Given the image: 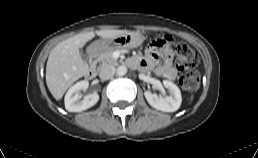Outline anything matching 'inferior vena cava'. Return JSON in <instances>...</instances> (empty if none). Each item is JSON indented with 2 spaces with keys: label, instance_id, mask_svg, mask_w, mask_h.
Returning <instances> with one entry per match:
<instances>
[{
  "label": "inferior vena cava",
  "instance_id": "inferior-vena-cava-1",
  "mask_svg": "<svg viewBox=\"0 0 258 158\" xmlns=\"http://www.w3.org/2000/svg\"><path fill=\"white\" fill-rule=\"evenodd\" d=\"M115 74V68L113 66H104L100 70L99 77L102 80H108Z\"/></svg>",
  "mask_w": 258,
  "mask_h": 158
}]
</instances>
